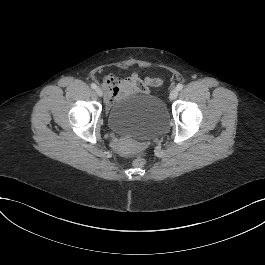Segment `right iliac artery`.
<instances>
[{
	"instance_id": "right-iliac-artery-1",
	"label": "right iliac artery",
	"mask_w": 265,
	"mask_h": 265,
	"mask_svg": "<svg viewBox=\"0 0 265 265\" xmlns=\"http://www.w3.org/2000/svg\"><path fill=\"white\" fill-rule=\"evenodd\" d=\"M91 88H92V89H96V88H97V85H96L95 83H92V84H91Z\"/></svg>"
}]
</instances>
